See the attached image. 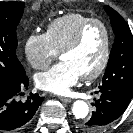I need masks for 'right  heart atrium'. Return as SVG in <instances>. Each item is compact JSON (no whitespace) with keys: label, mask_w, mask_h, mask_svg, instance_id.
<instances>
[{"label":"right heart atrium","mask_w":133,"mask_h":133,"mask_svg":"<svg viewBox=\"0 0 133 133\" xmlns=\"http://www.w3.org/2000/svg\"><path fill=\"white\" fill-rule=\"evenodd\" d=\"M29 64L34 69H46L58 52L54 49L45 33L31 34L24 46Z\"/></svg>","instance_id":"right-heart-atrium-1"}]
</instances>
